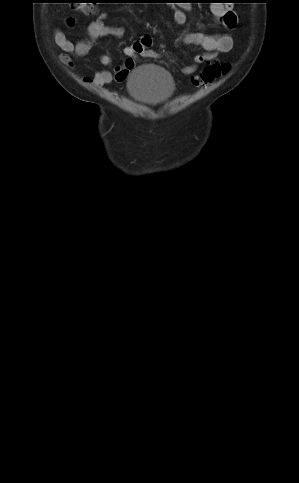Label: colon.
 I'll return each instance as SVG.
<instances>
[{"mask_svg":"<svg viewBox=\"0 0 299 483\" xmlns=\"http://www.w3.org/2000/svg\"><path fill=\"white\" fill-rule=\"evenodd\" d=\"M76 9L82 14H91L95 10V0H80L76 2ZM229 69V65L226 63H213L207 65L201 76L194 78V83L200 85L202 83L210 82L216 78L226 74Z\"/></svg>","mask_w":299,"mask_h":483,"instance_id":"1","label":"colon"}]
</instances>
